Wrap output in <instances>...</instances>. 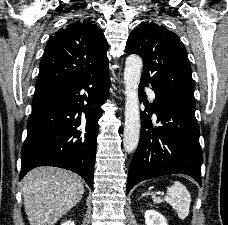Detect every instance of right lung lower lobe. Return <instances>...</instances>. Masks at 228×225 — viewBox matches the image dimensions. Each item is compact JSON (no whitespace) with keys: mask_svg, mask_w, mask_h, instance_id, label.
Listing matches in <instances>:
<instances>
[{"mask_svg":"<svg viewBox=\"0 0 228 225\" xmlns=\"http://www.w3.org/2000/svg\"><path fill=\"white\" fill-rule=\"evenodd\" d=\"M109 87L107 67L75 83L35 93L19 180L34 167L56 166L79 174L93 188L98 120Z\"/></svg>","mask_w":228,"mask_h":225,"instance_id":"obj_1","label":"right lung lower lobe"}]
</instances>
